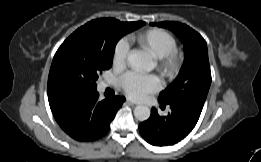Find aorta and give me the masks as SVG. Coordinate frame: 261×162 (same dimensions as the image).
<instances>
[{"instance_id": "obj_1", "label": "aorta", "mask_w": 261, "mask_h": 162, "mask_svg": "<svg viewBox=\"0 0 261 162\" xmlns=\"http://www.w3.org/2000/svg\"><path fill=\"white\" fill-rule=\"evenodd\" d=\"M128 63L136 71H150L153 68L151 59L142 51H133L128 56ZM134 116L139 121H145L150 117V109L147 106H137Z\"/></svg>"}]
</instances>
